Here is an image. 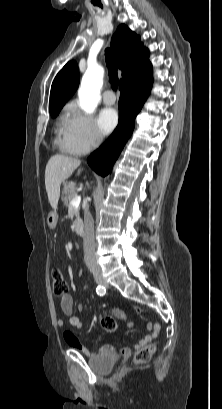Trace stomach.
<instances>
[{
    "label": "stomach",
    "instance_id": "stomach-1",
    "mask_svg": "<svg viewBox=\"0 0 222 409\" xmlns=\"http://www.w3.org/2000/svg\"><path fill=\"white\" fill-rule=\"evenodd\" d=\"M47 223L51 228H54L56 226L57 223V215L52 214L49 215L48 219H47Z\"/></svg>",
    "mask_w": 222,
    "mask_h": 409
}]
</instances>
